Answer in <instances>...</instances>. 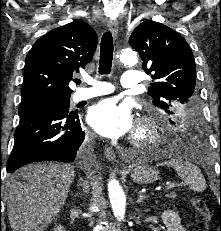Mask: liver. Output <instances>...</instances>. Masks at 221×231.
Returning <instances> with one entry per match:
<instances>
[{
	"instance_id": "liver-1",
	"label": "liver",
	"mask_w": 221,
	"mask_h": 231,
	"mask_svg": "<svg viewBox=\"0 0 221 231\" xmlns=\"http://www.w3.org/2000/svg\"><path fill=\"white\" fill-rule=\"evenodd\" d=\"M73 166L30 164L8 176L4 193L13 231H44L66 202Z\"/></svg>"
}]
</instances>
